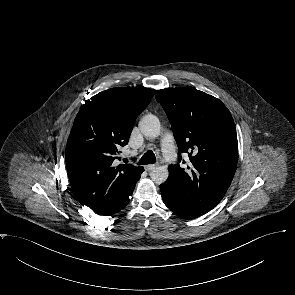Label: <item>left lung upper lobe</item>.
Here are the masks:
<instances>
[{
    "instance_id": "left-lung-upper-lobe-1",
    "label": "left lung upper lobe",
    "mask_w": 295,
    "mask_h": 295,
    "mask_svg": "<svg viewBox=\"0 0 295 295\" xmlns=\"http://www.w3.org/2000/svg\"><path fill=\"white\" fill-rule=\"evenodd\" d=\"M186 169L170 165L166 181L194 210L205 214L224 197L236 171L238 142L233 118L217 98L192 87L157 90ZM185 163V161H183Z\"/></svg>"
}]
</instances>
